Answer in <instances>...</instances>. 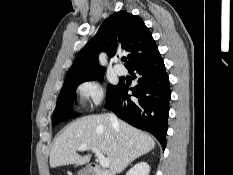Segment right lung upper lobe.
Listing matches in <instances>:
<instances>
[{"label": "right lung upper lobe", "mask_w": 233, "mask_h": 175, "mask_svg": "<svg viewBox=\"0 0 233 175\" xmlns=\"http://www.w3.org/2000/svg\"><path fill=\"white\" fill-rule=\"evenodd\" d=\"M101 51L109 57L128 52L125 66L130 68L154 55L158 48L141 18L126 11L116 12L102 23L97 34L79 52L65 81L103 73L104 67L98 62Z\"/></svg>", "instance_id": "cb5924a9"}]
</instances>
